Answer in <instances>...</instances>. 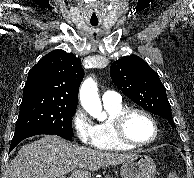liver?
<instances>
[{"mask_svg": "<svg viewBox=\"0 0 194 178\" xmlns=\"http://www.w3.org/2000/svg\"><path fill=\"white\" fill-rule=\"evenodd\" d=\"M133 153H110L81 147L55 136L46 135L24 145L9 167L8 178H91V171L124 163Z\"/></svg>", "mask_w": 194, "mask_h": 178, "instance_id": "obj_1", "label": "liver"}]
</instances>
